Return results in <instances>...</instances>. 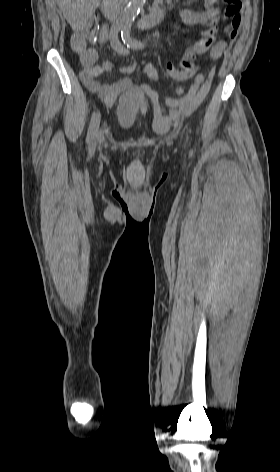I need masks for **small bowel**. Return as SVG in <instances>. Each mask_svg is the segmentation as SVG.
<instances>
[{
	"label": "small bowel",
	"instance_id": "obj_1",
	"mask_svg": "<svg viewBox=\"0 0 280 472\" xmlns=\"http://www.w3.org/2000/svg\"><path fill=\"white\" fill-rule=\"evenodd\" d=\"M209 1L210 0H204L206 7L203 10L176 7L183 24L188 26L200 25L203 27L201 38L193 46L188 48L184 61L192 62L198 55L208 50H210V59L214 61L219 59L226 49L227 43L225 40L216 41V25L219 21L220 7ZM239 25L235 27L228 26L226 34L229 39L232 40L236 37ZM108 39H110L108 29L106 26H102L98 37L99 43L104 44ZM71 43L82 65L80 73L82 82L91 92L97 94L106 106H112L117 97L129 88L131 84L130 80L124 78L110 84L98 82L96 78L104 72L114 70L115 64L107 60L97 65L96 61L98 55L96 50L93 47H88L80 34H74ZM137 68L138 64L134 63L121 67L119 72L129 74L136 71ZM198 70L199 67L194 65L192 83L187 90L183 88L176 89L177 94L181 96L180 98H165L166 109L160 101L159 93L151 86V83L157 79L155 67L151 63H147L143 67L142 73L146 78V82L142 87L151 98L155 113V122L159 128L166 129L172 122L187 117L205 99L210 91L215 69H211L207 76L199 73Z\"/></svg>",
	"mask_w": 280,
	"mask_h": 472
}]
</instances>
